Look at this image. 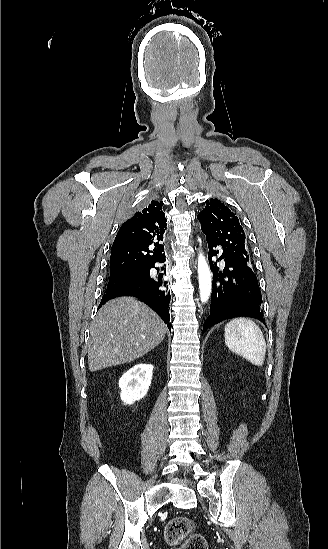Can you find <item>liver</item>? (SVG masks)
Wrapping results in <instances>:
<instances>
[{
  "instance_id": "1",
  "label": "liver",
  "mask_w": 328,
  "mask_h": 549,
  "mask_svg": "<svg viewBox=\"0 0 328 549\" xmlns=\"http://www.w3.org/2000/svg\"><path fill=\"white\" fill-rule=\"evenodd\" d=\"M166 325L148 305L118 297L99 309L90 327L89 371L140 359L162 343Z\"/></svg>"
}]
</instances>
